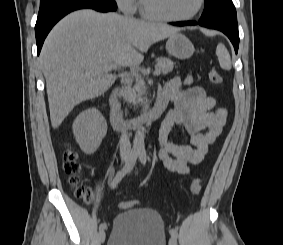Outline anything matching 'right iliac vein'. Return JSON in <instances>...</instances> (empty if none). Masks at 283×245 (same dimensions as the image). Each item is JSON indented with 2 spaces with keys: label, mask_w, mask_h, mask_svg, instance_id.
<instances>
[{
  "label": "right iliac vein",
  "mask_w": 283,
  "mask_h": 245,
  "mask_svg": "<svg viewBox=\"0 0 283 245\" xmlns=\"http://www.w3.org/2000/svg\"><path fill=\"white\" fill-rule=\"evenodd\" d=\"M127 158H124L123 159V163H127ZM105 238H106V233H105V230L104 229H102V230H100V232H99V239H100V241L103 243L104 241H105Z\"/></svg>",
  "instance_id": "right-iliac-vein-1"
}]
</instances>
